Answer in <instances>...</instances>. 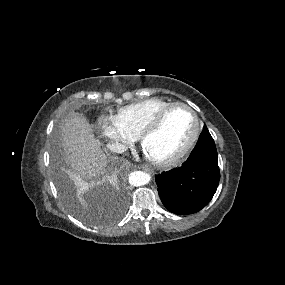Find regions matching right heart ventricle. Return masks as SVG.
Returning <instances> with one entry per match:
<instances>
[{
	"label": "right heart ventricle",
	"mask_w": 285,
	"mask_h": 285,
	"mask_svg": "<svg viewBox=\"0 0 285 285\" xmlns=\"http://www.w3.org/2000/svg\"><path fill=\"white\" fill-rule=\"evenodd\" d=\"M170 104L172 102L165 99L149 98L122 107L117 116L129 130L138 135L151 119Z\"/></svg>",
	"instance_id": "right-heart-ventricle-1"
}]
</instances>
